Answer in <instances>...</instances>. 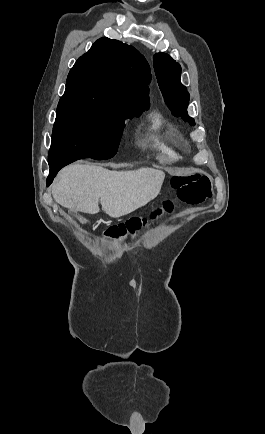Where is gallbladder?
<instances>
[{"mask_svg":"<svg viewBox=\"0 0 265 434\" xmlns=\"http://www.w3.org/2000/svg\"><path fill=\"white\" fill-rule=\"evenodd\" d=\"M78 219H79V221H81V222H82V221H84V219H85V218H84V216H82V215H81V216H79V218H78Z\"/></svg>","mask_w":265,"mask_h":434,"instance_id":"bac80fb5","label":"gallbladder"}]
</instances>
